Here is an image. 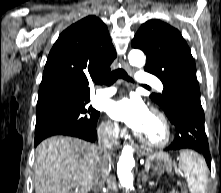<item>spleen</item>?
I'll return each mask as SVG.
<instances>
[{
  "mask_svg": "<svg viewBox=\"0 0 221 193\" xmlns=\"http://www.w3.org/2000/svg\"><path fill=\"white\" fill-rule=\"evenodd\" d=\"M179 168L183 171L190 193H206L208 169L205 161L195 152H180Z\"/></svg>",
  "mask_w": 221,
  "mask_h": 193,
  "instance_id": "1",
  "label": "spleen"
}]
</instances>
